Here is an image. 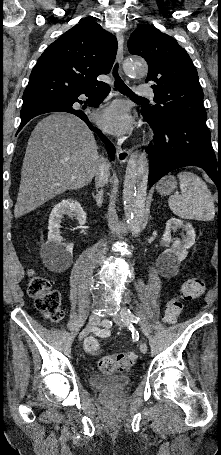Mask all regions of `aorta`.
I'll return each instance as SVG.
<instances>
[{"mask_svg": "<svg viewBox=\"0 0 221 455\" xmlns=\"http://www.w3.org/2000/svg\"><path fill=\"white\" fill-rule=\"evenodd\" d=\"M123 69L129 76H145L148 71L145 62L136 57L127 58L123 63ZM148 175L146 154H133L127 162L123 200L128 227L135 234L140 232L143 221Z\"/></svg>", "mask_w": 221, "mask_h": 455, "instance_id": "1", "label": "aorta"}]
</instances>
